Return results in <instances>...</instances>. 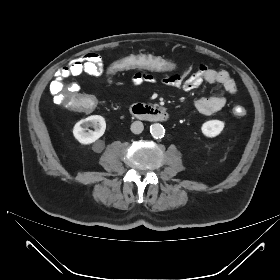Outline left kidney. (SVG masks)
Listing matches in <instances>:
<instances>
[{"label": "left kidney", "instance_id": "5707ae66", "mask_svg": "<svg viewBox=\"0 0 280 280\" xmlns=\"http://www.w3.org/2000/svg\"><path fill=\"white\" fill-rule=\"evenodd\" d=\"M224 128V122L220 120H209L203 123L201 130L207 137H215L221 133Z\"/></svg>", "mask_w": 280, "mask_h": 280}]
</instances>
